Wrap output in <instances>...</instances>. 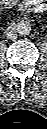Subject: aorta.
<instances>
[{
    "instance_id": "1",
    "label": "aorta",
    "mask_w": 47,
    "mask_h": 129,
    "mask_svg": "<svg viewBox=\"0 0 47 129\" xmlns=\"http://www.w3.org/2000/svg\"><path fill=\"white\" fill-rule=\"evenodd\" d=\"M16 31L19 35H28L31 31V25L27 21H21L17 24Z\"/></svg>"
}]
</instances>
